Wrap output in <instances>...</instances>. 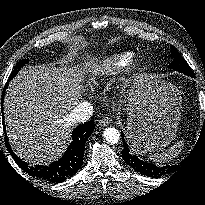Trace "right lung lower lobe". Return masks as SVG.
I'll return each mask as SVG.
<instances>
[{"mask_svg": "<svg viewBox=\"0 0 205 205\" xmlns=\"http://www.w3.org/2000/svg\"><path fill=\"white\" fill-rule=\"evenodd\" d=\"M8 86L6 83L2 93V102L5 95V90ZM3 110V108H2ZM3 116V115H2ZM4 118V116H3ZM3 128L5 132V144L15 162L29 175L43 179L52 183L65 181L67 178L74 175L82 166L85 143L91 133L94 131V121L91 120L85 124L78 126L72 133V142L67 148L65 154L58 161L51 163L49 166L38 165L35 167L29 166L26 162L18 158L12 151L11 146L6 136V129L3 120Z\"/></svg>", "mask_w": 205, "mask_h": 205, "instance_id": "obj_1", "label": "right lung lower lobe"}]
</instances>
